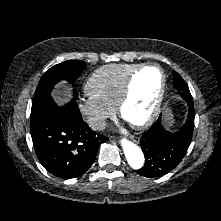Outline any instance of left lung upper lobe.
Masks as SVG:
<instances>
[{"label": "left lung upper lobe", "mask_w": 221, "mask_h": 221, "mask_svg": "<svg viewBox=\"0 0 221 221\" xmlns=\"http://www.w3.org/2000/svg\"><path fill=\"white\" fill-rule=\"evenodd\" d=\"M173 75L174 87L178 90V93L181 95V97L185 100H192V96L186 82L176 71H173Z\"/></svg>", "instance_id": "left-lung-upper-lobe-1"}]
</instances>
